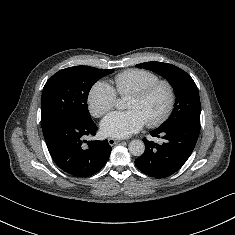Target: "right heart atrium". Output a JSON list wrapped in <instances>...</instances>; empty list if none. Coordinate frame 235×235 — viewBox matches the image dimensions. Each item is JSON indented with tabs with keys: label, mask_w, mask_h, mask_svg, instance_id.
<instances>
[{
	"label": "right heart atrium",
	"mask_w": 235,
	"mask_h": 235,
	"mask_svg": "<svg viewBox=\"0 0 235 235\" xmlns=\"http://www.w3.org/2000/svg\"><path fill=\"white\" fill-rule=\"evenodd\" d=\"M117 94L113 87L105 81L96 82L89 90L87 102L91 114L101 117L116 104Z\"/></svg>",
	"instance_id": "right-heart-atrium-1"
}]
</instances>
